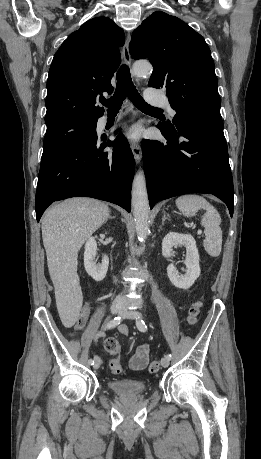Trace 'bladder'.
Returning <instances> with one entry per match:
<instances>
[{
  "mask_svg": "<svg viewBox=\"0 0 261 459\" xmlns=\"http://www.w3.org/2000/svg\"><path fill=\"white\" fill-rule=\"evenodd\" d=\"M107 386L115 394L123 396L143 394L147 390L144 382L135 379H111Z\"/></svg>",
  "mask_w": 261,
  "mask_h": 459,
  "instance_id": "bladder-1",
  "label": "bladder"
}]
</instances>
